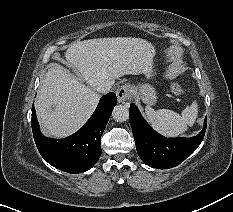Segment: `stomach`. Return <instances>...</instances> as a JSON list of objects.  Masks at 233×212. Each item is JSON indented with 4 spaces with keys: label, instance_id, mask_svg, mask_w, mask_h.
<instances>
[{
    "label": "stomach",
    "instance_id": "0dacf381",
    "mask_svg": "<svg viewBox=\"0 0 233 212\" xmlns=\"http://www.w3.org/2000/svg\"><path fill=\"white\" fill-rule=\"evenodd\" d=\"M154 67V63H152L151 69L145 73L148 78L154 77L156 75V70ZM136 91L144 103L148 105H154L156 103V91L150 84H141L136 88Z\"/></svg>",
    "mask_w": 233,
    "mask_h": 212
}]
</instances>
